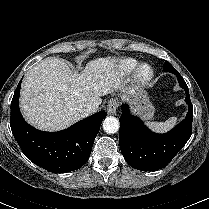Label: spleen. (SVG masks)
<instances>
[{
    "label": "spleen",
    "mask_w": 209,
    "mask_h": 209,
    "mask_svg": "<svg viewBox=\"0 0 209 209\" xmlns=\"http://www.w3.org/2000/svg\"><path fill=\"white\" fill-rule=\"evenodd\" d=\"M176 122H177V118L171 117L165 122H147L146 125L154 132L164 133L170 130L171 128H173Z\"/></svg>",
    "instance_id": "1"
}]
</instances>
